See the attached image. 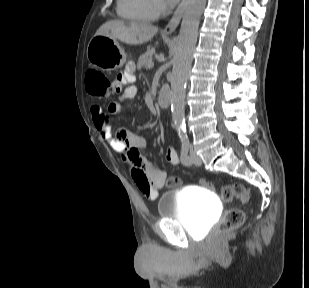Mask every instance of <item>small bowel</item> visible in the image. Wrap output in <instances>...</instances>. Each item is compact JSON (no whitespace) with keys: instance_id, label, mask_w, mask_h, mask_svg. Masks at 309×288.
Returning <instances> with one entry per match:
<instances>
[{"instance_id":"obj_1","label":"small bowel","mask_w":309,"mask_h":288,"mask_svg":"<svg viewBox=\"0 0 309 288\" xmlns=\"http://www.w3.org/2000/svg\"><path fill=\"white\" fill-rule=\"evenodd\" d=\"M130 77L127 74L121 75L115 82L121 87L128 84ZM136 95L134 86H127L122 94V99H131ZM123 113L119 102H111L108 111L105 112L100 106H93L91 114L94 125L99 135L106 140L111 148L121 154L122 161L128 166L131 177L140 191L149 199H156L159 191L164 187L166 174L164 171L153 165L141 153L140 149L146 144L145 139L128 130L119 129L113 131L110 126V115ZM130 117L131 112H124ZM165 159L171 165H177L179 158L173 147L165 151Z\"/></svg>"}]
</instances>
